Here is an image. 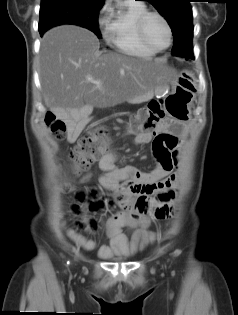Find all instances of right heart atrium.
<instances>
[{"instance_id":"right-heart-atrium-1","label":"right heart atrium","mask_w":238,"mask_h":315,"mask_svg":"<svg viewBox=\"0 0 238 315\" xmlns=\"http://www.w3.org/2000/svg\"><path fill=\"white\" fill-rule=\"evenodd\" d=\"M106 8L103 7L101 10H100V15H102L104 12H105Z\"/></svg>"}]
</instances>
